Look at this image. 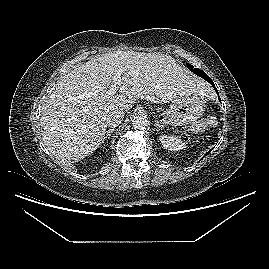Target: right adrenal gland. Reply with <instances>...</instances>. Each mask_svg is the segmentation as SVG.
Here are the masks:
<instances>
[{
  "mask_svg": "<svg viewBox=\"0 0 269 269\" xmlns=\"http://www.w3.org/2000/svg\"><path fill=\"white\" fill-rule=\"evenodd\" d=\"M115 130V128H110L109 130H107L105 136H104V139L108 138L107 139V142L110 140V136H111V133Z\"/></svg>",
  "mask_w": 269,
  "mask_h": 269,
  "instance_id": "obj_1",
  "label": "right adrenal gland"
}]
</instances>
